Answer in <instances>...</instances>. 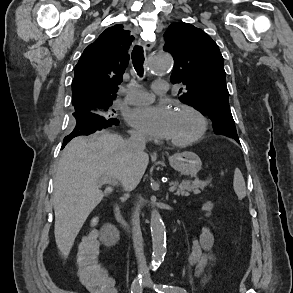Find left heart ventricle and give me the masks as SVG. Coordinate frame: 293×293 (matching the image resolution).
Here are the masks:
<instances>
[{
	"instance_id": "obj_1",
	"label": "left heart ventricle",
	"mask_w": 293,
	"mask_h": 293,
	"mask_svg": "<svg viewBox=\"0 0 293 293\" xmlns=\"http://www.w3.org/2000/svg\"><path fill=\"white\" fill-rule=\"evenodd\" d=\"M197 129L198 122L195 117L185 112L175 111L167 139L170 141L184 140L193 136Z\"/></svg>"
}]
</instances>
